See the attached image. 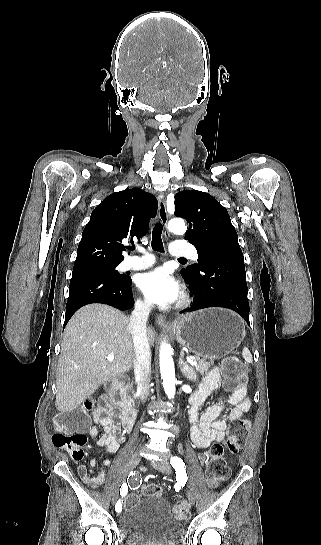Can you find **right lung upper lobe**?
Returning a JSON list of instances; mask_svg holds the SVG:
<instances>
[{
	"mask_svg": "<svg viewBox=\"0 0 321 545\" xmlns=\"http://www.w3.org/2000/svg\"><path fill=\"white\" fill-rule=\"evenodd\" d=\"M155 196L132 188L106 197L93 211L82 233L73 270L116 265L128 240L140 239L157 213Z\"/></svg>",
	"mask_w": 321,
	"mask_h": 545,
	"instance_id": "obj_1",
	"label": "right lung upper lobe"
}]
</instances>
